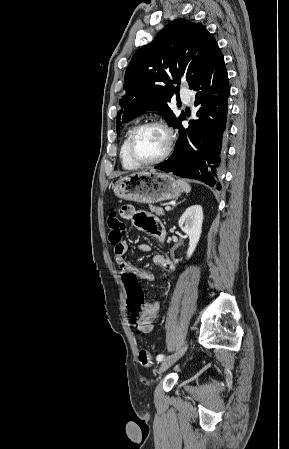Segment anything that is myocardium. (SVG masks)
Segmentation results:
<instances>
[{
	"label": "myocardium",
	"mask_w": 289,
	"mask_h": 449,
	"mask_svg": "<svg viewBox=\"0 0 289 449\" xmlns=\"http://www.w3.org/2000/svg\"><path fill=\"white\" fill-rule=\"evenodd\" d=\"M147 127H158L165 133L166 147H165L164 152L159 157H157L153 160H150V161H142V160L138 159L135 154L134 144H135V139H136L137 135L139 134V132ZM174 143H175L174 131L166 121H164L163 119H158V118L149 119V120H146V121L142 122L141 124L137 125L133 129V131L130 135V138H129V145H128L129 155H130V158L132 159V161L139 166L154 165V164L162 162L170 155V153L173 150Z\"/></svg>",
	"instance_id": "obj_1"
}]
</instances>
